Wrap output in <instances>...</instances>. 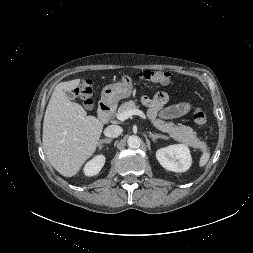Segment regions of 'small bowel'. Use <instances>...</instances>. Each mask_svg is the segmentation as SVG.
<instances>
[{
	"mask_svg": "<svg viewBox=\"0 0 253 253\" xmlns=\"http://www.w3.org/2000/svg\"><path fill=\"white\" fill-rule=\"evenodd\" d=\"M168 100L169 96L166 92H158L152 98L142 97V103L148 108L151 118L160 116L164 119H173L189 112L191 105L188 102L167 106Z\"/></svg>",
	"mask_w": 253,
	"mask_h": 253,
	"instance_id": "small-bowel-1",
	"label": "small bowel"
}]
</instances>
